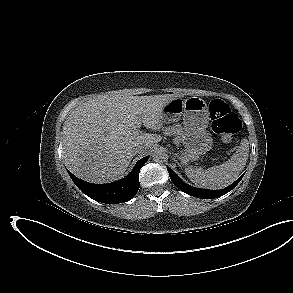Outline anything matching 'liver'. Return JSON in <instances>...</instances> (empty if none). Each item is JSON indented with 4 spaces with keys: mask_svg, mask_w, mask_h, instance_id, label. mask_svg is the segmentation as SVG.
<instances>
[{
    "mask_svg": "<svg viewBox=\"0 0 293 293\" xmlns=\"http://www.w3.org/2000/svg\"><path fill=\"white\" fill-rule=\"evenodd\" d=\"M183 94L154 96L98 95L73 110L63 124L65 165L92 183L117 180L129 166L137 145L145 153L161 136L137 131L142 123L162 127L165 105Z\"/></svg>",
    "mask_w": 293,
    "mask_h": 293,
    "instance_id": "6515ba94",
    "label": "liver"
}]
</instances>
